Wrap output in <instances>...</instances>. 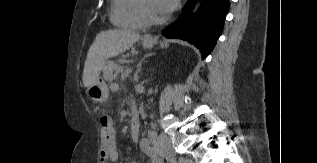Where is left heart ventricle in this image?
Returning a JSON list of instances; mask_svg holds the SVG:
<instances>
[{"mask_svg":"<svg viewBox=\"0 0 317 163\" xmlns=\"http://www.w3.org/2000/svg\"><path fill=\"white\" fill-rule=\"evenodd\" d=\"M148 8L156 17H164L166 14L159 7L157 0H145Z\"/></svg>","mask_w":317,"mask_h":163,"instance_id":"1","label":"left heart ventricle"}]
</instances>
